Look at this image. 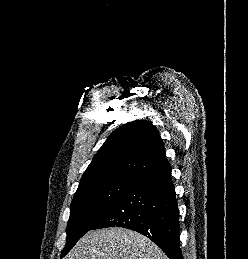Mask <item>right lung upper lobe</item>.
Returning a JSON list of instances; mask_svg holds the SVG:
<instances>
[{"label":"right lung upper lobe","mask_w":248,"mask_h":259,"mask_svg":"<svg viewBox=\"0 0 248 259\" xmlns=\"http://www.w3.org/2000/svg\"><path fill=\"white\" fill-rule=\"evenodd\" d=\"M168 166L157 129L150 122L133 121L107 138L83 174L79 187L108 181L133 184Z\"/></svg>","instance_id":"1"}]
</instances>
